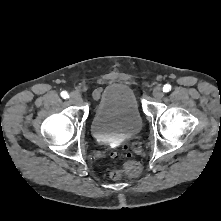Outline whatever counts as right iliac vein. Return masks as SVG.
I'll use <instances>...</instances> for the list:
<instances>
[{
  "label": "right iliac vein",
  "mask_w": 221,
  "mask_h": 221,
  "mask_svg": "<svg viewBox=\"0 0 221 221\" xmlns=\"http://www.w3.org/2000/svg\"><path fill=\"white\" fill-rule=\"evenodd\" d=\"M69 100L72 104H81L82 103L81 96L76 92H73L70 94Z\"/></svg>",
  "instance_id": "63e3f726"
}]
</instances>
